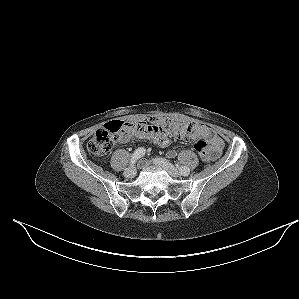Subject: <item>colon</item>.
I'll return each instance as SVG.
<instances>
[{
	"label": "colon",
	"mask_w": 299,
	"mask_h": 299,
	"mask_svg": "<svg viewBox=\"0 0 299 299\" xmlns=\"http://www.w3.org/2000/svg\"><path fill=\"white\" fill-rule=\"evenodd\" d=\"M195 123H177L168 118H153L150 123H131L123 120H113L102 126L88 143V151L91 155L102 157L108 154L117 142H120L131 128L139 130L158 129L165 134H172L179 139H188L195 130ZM195 150L203 161H209L207 143L199 139L194 144Z\"/></svg>",
	"instance_id": "obj_1"
}]
</instances>
